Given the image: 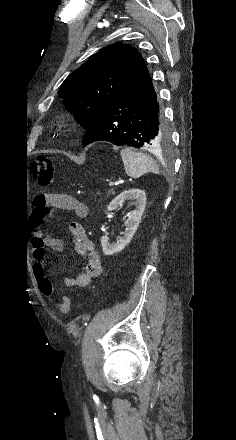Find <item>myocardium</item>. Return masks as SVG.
Returning <instances> with one entry per match:
<instances>
[{
  "mask_svg": "<svg viewBox=\"0 0 236 440\" xmlns=\"http://www.w3.org/2000/svg\"><path fill=\"white\" fill-rule=\"evenodd\" d=\"M70 125H71L70 124V119L67 118V117H64V116L60 117L58 122H57V126L60 129H68L70 127Z\"/></svg>",
  "mask_w": 236,
  "mask_h": 440,
  "instance_id": "myocardium-1",
  "label": "myocardium"
}]
</instances>
